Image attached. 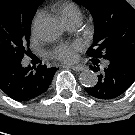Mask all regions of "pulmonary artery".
<instances>
[{
	"label": "pulmonary artery",
	"instance_id": "1",
	"mask_svg": "<svg viewBox=\"0 0 135 135\" xmlns=\"http://www.w3.org/2000/svg\"><path fill=\"white\" fill-rule=\"evenodd\" d=\"M64 24L68 30L73 31L77 28L79 24V19L77 18L69 19L64 21ZM103 64L104 66H107L109 64V61L105 60Z\"/></svg>",
	"mask_w": 135,
	"mask_h": 135
}]
</instances>
